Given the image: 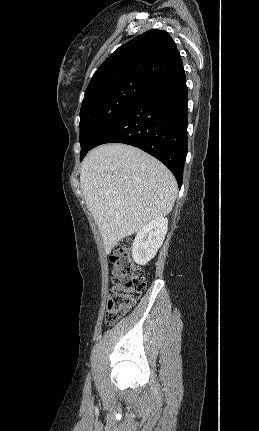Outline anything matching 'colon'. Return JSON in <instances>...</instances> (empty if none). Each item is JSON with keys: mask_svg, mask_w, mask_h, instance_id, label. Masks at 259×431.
I'll use <instances>...</instances> for the list:
<instances>
[{"mask_svg": "<svg viewBox=\"0 0 259 431\" xmlns=\"http://www.w3.org/2000/svg\"><path fill=\"white\" fill-rule=\"evenodd\" d=\"M132 241L121 240L111 251L112 279L108 292L105 322L112 325L137 302L146 288L143 271L131 258Z\"/></svg>", "mask_w": 259, "mask_h": 431, "instance_id": "obj_1", "label": "colon"}]
</instances>
